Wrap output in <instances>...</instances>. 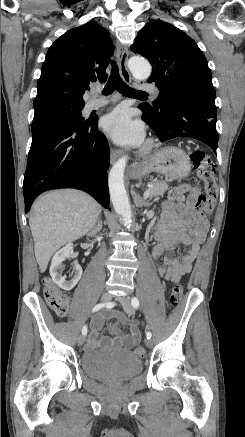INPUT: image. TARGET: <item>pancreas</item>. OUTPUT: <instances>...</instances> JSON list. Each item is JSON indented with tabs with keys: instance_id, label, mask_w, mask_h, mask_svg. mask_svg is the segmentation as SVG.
Returning <instances> with one entry per match:
<instances>
[{
	"instance_id": "cf45deb5",
	"label": "pancreas",
	"mask_w": 245,
	"mask_h": 437,
	"mask_svg": "<svg viewBox=\"0 0 245 437\" xmlns=\"http://www.w3.org/2000/svg\"><path fill=\"white\" fill-rule=\"evenodd\" d=\"M167 189H168V184L166 182L153 180L151 182L149 199L163 196V194L166 192Z\"/></svg>"
}]
</instances>
